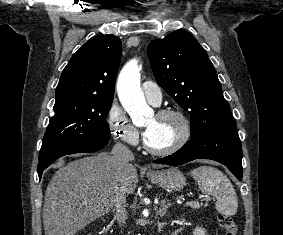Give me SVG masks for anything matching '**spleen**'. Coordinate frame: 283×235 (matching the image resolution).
<instances>
[{
	"label": "spleen",
	"mask_w": 283,
	"mask_h": 235,
	"mask_svg": "<svg viewBox=\"0 0 283 235\" xmlns=\"http://www.w3.org/2000/svg\"><path fill=\"white\" fill-rule=\"evenodd\" d=\"M198 182L202 193L216 198V209L226 216L237 212L238 199L234 187L227 176L212 166H200L190 171Z\"/></svg>",
	"instance_id": "obj_1"
}]
</instances>
